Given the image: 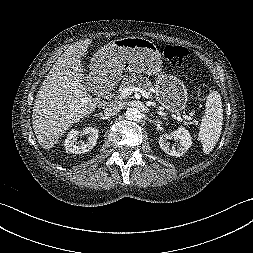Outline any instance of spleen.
<instances>
[{"mask_svg":"<svg viewBox=\"0 0 253 253\" xmlns=\"http://www.w3.org/2000/svg\"><path fill=\"white\" fill-rule=\"evenodd\" d=\"M222 122L221 96L217 91H213L207 96L206 109L199 131V140L205 154H209L217 144L222 131Z\"/></svg>","mask_w":253,"mask_h":253,"instance_id":"1","label":"spleen"}]
</instances>
